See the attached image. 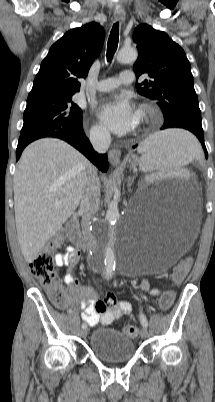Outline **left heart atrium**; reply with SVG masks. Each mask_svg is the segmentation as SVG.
<instances>
[{"label": "left heart atrium", "instance_id": "left-heart-atrium-1", "mask_svg": "<svg viewBox=\"0 0 215 402\" xmlns=\"http://www.w3.org/2000/svg\"><path fill=\"white\" fill-rule=\"evenodd\" d=\"M98 115L104 124L117 134L129 133L137 125V112L130 100L124 95L103 103Z\"/></svg>", "mask_w": 215, "mask_h": 402}]
</instances>
